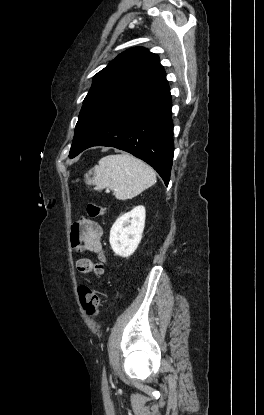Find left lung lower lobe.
Listing matches in <instances>:
<instances>
[{"instance_id":"left-lung-lower-lobe-1","label":"left lung lower lobe","mask_w":264,"mask_h":415,"mask_svg":"<svg viewBox=\"0 0 264 415\" xmlns=\"http://www.w3.org/2000/svg\"><path fill=\"white\" fill-rule=\"evenodd\" d=\"M171 107L164 78L105 112L75 156L92 146L115 147L148 163L168 185L174 152Z\"/></svg>"}]
</instances>
